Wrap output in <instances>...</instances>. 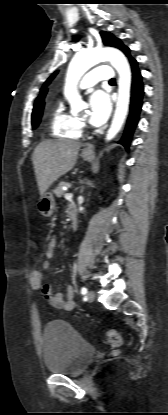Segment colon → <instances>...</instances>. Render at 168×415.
Here are the masks:
<instances>
[{"label":"colon","instance_id":"colon-1","mask_svg":"<svg viewBox=\"0 0 168 415\" xmlns=\"http://www.w3.org/2000/svg\"><path fill=\"white\" fill-rule=\"evenodd\" d=\"M43 262L44 257L38 256L36 262L33 263L32 274L29 276L31 290L34 292L41 291L43 288ZM107 341L113 346L118 347L121 344L119 333L113 329L107 330L105 333Z\"/></svg>","mask_w":168,"mask_h":415}]
</instances>
